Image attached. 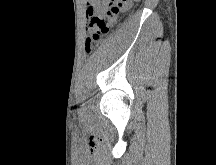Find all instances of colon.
<instances>
[{"label":"colon","instance_id":"colon-1","mask_svg":"<svg viewBox=\"0 0 216 165\" xmlns=\"http://www.w3.org/2000/svg\"><path fill=\"white\" fill-rule=\"evenodd\" d=\"M125 1L108 0V9L102 13H95L93 10H88V32L85 42L87 52H90L101 38L107 35L116 25L124 8Z\"/></svg>","mask_w":216,"mask_h":165}]
</instances>
